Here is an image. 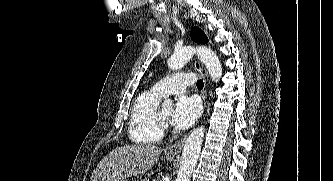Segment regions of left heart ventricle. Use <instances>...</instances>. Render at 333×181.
I'll use <instances>...</instances> for the list:
<instances>
[{"label": "left heart ventricle", "mask_w": 333, "mask_h": 181, "mask_svg": "<svg viewBox=\"0 0 333 181\" xmlns=\"http://www.w3.org/2000/svg\"><path fill=\"white\" fill-rule=\"evenodd\" d=\"M171 113H172V108L171 107H163V108L160 109V115L165 120L170 118Z\"/></svg>", "instance_id": "left-heart-ventricle-1"}]
</instances>
